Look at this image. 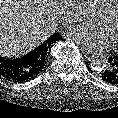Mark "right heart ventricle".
Listing matches in <instances>:
<instances>
[{
	"mask_svg": "<svg viewBox=\"0 0 118 118\" xmlns=\"http://www.w3.org/2000/svg\"><path fill=\"white\" fill-rule=\"evenodd\" d=\"M111 0H93L94 4H96L99 8H103L106 6Z\"/></svg>",
	"mask_w": 118,
	"mask_h": 118,
	"instance_id": "1",
	"label": "right heart ventricle"
}]
</instances>
